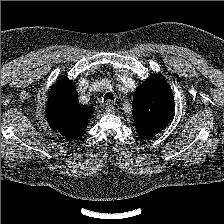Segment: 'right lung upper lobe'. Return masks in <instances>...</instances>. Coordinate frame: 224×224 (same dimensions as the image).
<instances>
[{"instance_id":"cb5924a9","label":"right lung upper lobe","mask_w":224,"mask_h":224,"mask_svg":"<svg viewBox=\"0 0 224 224\" xmlns=\"http://www.w3.org/2000/svg\"><path fill=\"white\" fill-rule=\"evenodd\" d=\"M92 111L91 107L80 106L76 89L67 77L53 85L46 107V117L53 130L68 139H78Z\"/></svg>"}]
</instances>
